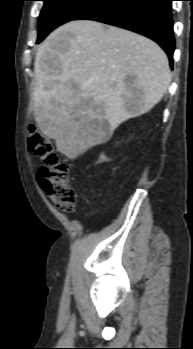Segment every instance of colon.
<instances>
[{"label":"colon","instance_id":"obj_1","mask_svg":"<svg viewBox=\"0 0 193 349\" xmlns=\"http://www.w3.org/2000/svg\"><path fill=\"white\" fill-rule=\"evenodd\" d=\"M28 148L42 162L37 174L42 189L60 209L72 210L76 193L70 182L69 166L61 161L51 139L31 125Z\"/></svg>","mask_w":193,"mask_h":349}]
</instances>
